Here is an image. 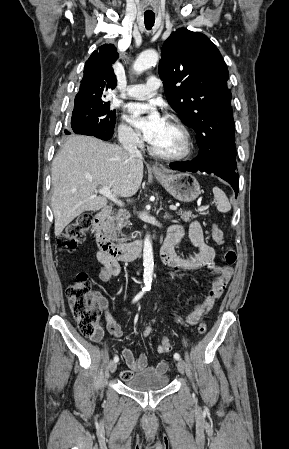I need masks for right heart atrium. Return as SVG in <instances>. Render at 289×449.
<instances>
[{"label":"right heart atrium","instance_id":"obj_1","mask_svg":"<svg viewBox=\"0 0 289 449\" xmlns=\"http://www.w3.org/2000/svg\"><path fill=\"white\" fill-rule=\"evenodd\" d=\"M119 140L122 144L135 146L139 144V136L133 128L125 123H121L118 128Z\"/></svg>","mask_w":289,"mask_h":449}]
</instances>
